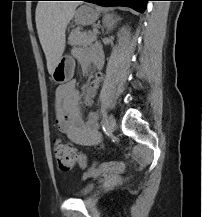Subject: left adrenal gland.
<instances>
[{"label":"left adrenal gland","mask_w":202,"mask_h":217,"mask_svg":"<svg viewBox=\"0 0 202 217\" xmlns=\"http://www.w3.org/2000/svg\"><path fill=\"white\" fill-rule=\"evenodd\" d=\"M119 20H120V17H115V19L111 23H109L106 33H108L110 30H112L113 29V27H112L113 24L115 22L119 21Z\"/></svg>","instance_id":"1"}]
</instances>
